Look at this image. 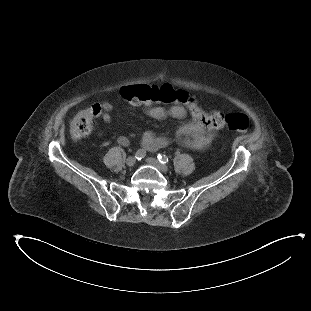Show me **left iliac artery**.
Here are the masks:
<instances>
[{
    "label": "left iliac artery",
    "instance_id": "left-iliac-artery-1",
    "mask_svg": "<svg viewBox=\"0 0 311 311\" xmlns=\"http://www.w3.org/2000/svg\"><path fill=\"white\" fill-rule=\"evenodd\" d=\"M157 157H158L159 162L162 164H166L169 162V158L164 154H158Z\"/></svg>",
    "mask_w": 311,
    "mask_h": 311
}]
</instances>
